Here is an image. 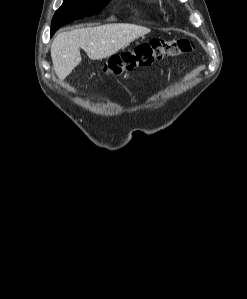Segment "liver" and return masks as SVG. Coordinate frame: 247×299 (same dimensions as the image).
<instances>
[{
    "instance_id": "1",
    "label": "liver",
    "mask_w": 247,
    "mask_h": 299,
    "mask_svg": "<svg viewBox=\"0 0 247 299\" xmlns=\"http://www.w3.org/2000/svg\"><path fill=\"white\" fill-rule=\"evenodd\" d=\"M149 32L143 26L114 23L60 33L51 45L55 73L59 79H65L82 60L80 48L91 60H100Z\"/></svg>"
}]
</instances>
